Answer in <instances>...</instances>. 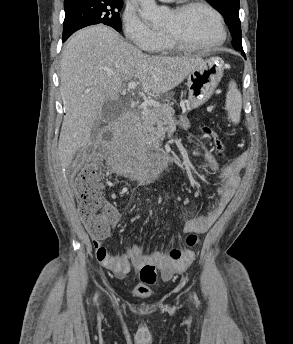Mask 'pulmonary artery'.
I'll return each instance as SVG.
<instances>
[{
    "mask_svg": "<svg viewBox=\"0 0 293 344\" xmlns=\"http://www.w3.org/2000/svg\"><path fill=\"white\" fill-rule=\"evenodd\" d=\"M160 1H172V0H160Z\"/></svg>",
    "mask_w": 293,
    "mask_h": 344,
    "instance_id": "obj_1",
    "label": "pulmonary artery"
}]
</instances>
